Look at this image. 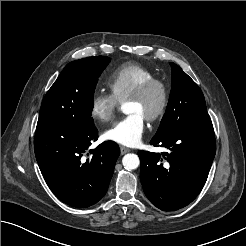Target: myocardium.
Returning a JSON list of instances; mask_svg holds the SVG:
<instances>
[{"instance_id": "myocardium-1", "label": "myocardium", "mask_w": 246, "mask_h": 246, "mask_svg": "<svg viewBox=\"0 0 246 246\" xmlns=\"http://www.w3.org/2000/svg\"><path fill=\"white\" fill-rule=\"evenodd\" d=\"M155 88L160 90L161 100L157 109L145 117L148 122H156L164 116L169 104V88L167 84L158 78L150 79L143 83L126 99V101H142Z\"/></svg>"}]
</instances>
